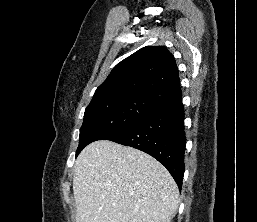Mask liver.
<instances>
[{
	"mask_svg": "<svg viewBox=\"0 0 257 222\" xmlns=\"http://www.w3.org/2000/svg\"><path fill=\"white\" fill-rule=\"evenodd\" d=\"M76 222H170L179 191L150 155L108 140L83 149L74 168Z\"/></svg>",
	"mask_w": 257,
	"mask_h": 222,
	"instance_id": "liver-1",
	"label": "liver"
}]
</instances>
